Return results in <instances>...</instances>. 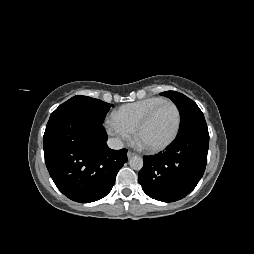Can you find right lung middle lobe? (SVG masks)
Wrapping results in <instances>:
<instances>
[{"instance_id": "obj_1", "label": "right lung middle lobe", "mask_w": 254, "mask_h": 254, "mask_svg": "<svg viewBox=\"0 0 254 254\" xmlns=\"http://www.w3.org/2000/svg\"><path fill=\"white\" fill-rule=\"evenodd\" d=\"M110 107H113V105L99 99L81 95L74 96L61 104L51 114L50 118L63 114H74L102 124Z\"/></svg>"}]
</instances>
